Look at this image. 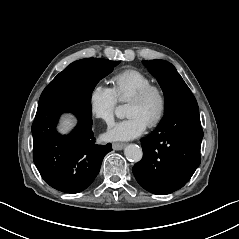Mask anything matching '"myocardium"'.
Wrapping results in <instances>:
<instances>
[{"mask_svg":"<svg viewBox=\"0 0 239 239\" xmlns=\"http://www.w3.org/2000/svg\"><path fill=\"white\" fill-rule=\"evenodd\" d=\"M156 94L160 101V107L156 116L152 119V121L148 124L150 128H154L159 125L162 120L164 119L167 109H168V97L165 89L155 83H150L137 92H135L129 99V102H142L144 101L149 95Z\"/></svg>","mask_w":239,"mask_h":239,"instance_id":"f54148a6","label":"myocardium"}]
</instances>
